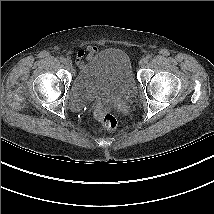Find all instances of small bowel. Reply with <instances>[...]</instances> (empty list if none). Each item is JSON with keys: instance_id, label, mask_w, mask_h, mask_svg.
Instances as JSON below:
<instances>
[{"instance_id": "obj_1", "label": "small bowel", "mask_w": 214, "mask_h": 214, "mask_svg": "<svg viewBox=\"0 0 214 214\" xmlns=\"http://www.w3.org/2000/svg\"><path fill=\"white\" fill-rule=\"evenodd\" d=\"M98 54V48L94 45H89L86 48L79 49L76 54V64L79 68L85 65V60H92Z\"/></svg>"}]
</instances>
